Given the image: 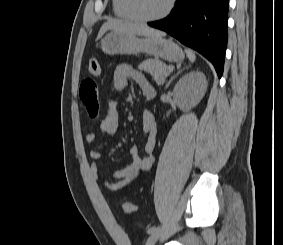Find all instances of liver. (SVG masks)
<instances>
[{
	"label": "liver",
	"instance_id": "obj_1",
	"mask_svg": "<svg viewBox=\"0 0 283 245\" xmlns=\"http://www.w3.org/2000/svg\"><path fill=\"white\" fill-rule=\"evenodd\" d=\"M120 33H128L141 36H163L164 34L158 30L149 28L143 24L131 23L122 20H109L104 23L98 33L97 40L100 39L107 31Z\"/></svg>",
	"mask_w": 283,
	"mask_h": 245
}]
</instances>
